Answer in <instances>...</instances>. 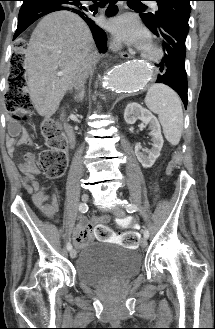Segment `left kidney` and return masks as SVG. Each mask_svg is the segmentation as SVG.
<instances>
[{
	"label": "left kidney",
	"mask_w": 215,
	"mask_h": 329,
	"mask_svg": "<svg viewBox=\"0 0 215 329\" xmlns=\"http://www.w3.org/2000/svg\"><path fill=\"white\" fill-rule=\"evenodd\" d=\"M124 119L127 124H134L140 119L144 124L149 125L152 148L148 155H144L140 152V145L137 143L135 145V154L144 168H150L160 156V151L164 143L157 118L149 110L134 102L127 105L124 112Z\"/></svg>",
	"instance_id": "left-kidney-1"
}]
</instances>
